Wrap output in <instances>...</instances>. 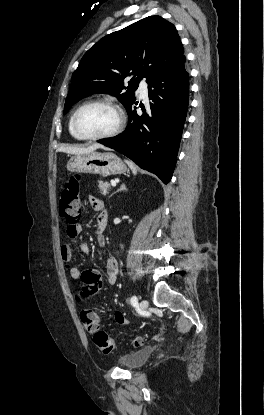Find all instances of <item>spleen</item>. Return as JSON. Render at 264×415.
<instances>
[{"instance_id": "1", "label": "spleen", "mask_w": 264, "mask_h": 415, "mask_svg": "<svg viewBox=\"0 0 264 415\" xmlns=\"http://www.w3.org/2000/svg\"><path fill=\"white\" fill-rule=\"evenodd\" d=\"M125 162L128 164V166L132 170L133 174L136 175L137 174V169H136V166L134 165V163L132 161H129V160H125Z\"/></svg>"}]
</instances>
